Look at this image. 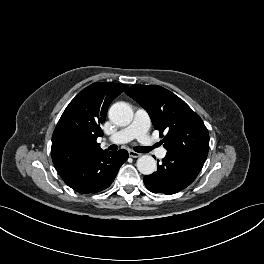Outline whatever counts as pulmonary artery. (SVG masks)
Instances as JSON below:
<instances>
[{
    "instance_id": "e3ab8cb5",
    "label": "pulmonary artery",
    "mask_w": 264,
    "mask_h": 264,
    "mask_svg": "<svg viewBox=\"0 0 264 264\" xmlns=\"http://www.w3.org/2000/svg\"><path fill=\"white\" fill-rule=\"evenodd\" d=\"M149 127L150 118L148 113L143 109H137L131 124L111 135L108 141L122 144L137 139L145 147L154 150L158 158H164L166 156V150L163 147L156 148L148 134Z\"/></svg>"
}]
</instances>
